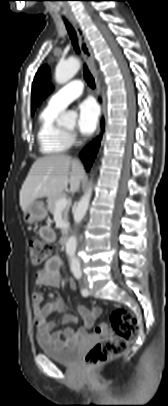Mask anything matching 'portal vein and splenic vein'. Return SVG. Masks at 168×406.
I'll list each match as a JSON object with an SVG mask.
<instances>
[{
	"label": "portal vein and splenic vein",
	"mask_w": 168,
	"mask_h": 406,
	"mask_svg": "<svg viewBox=\"0 0 168 406\" xmlns=\"http://www.w3.org/2000/svg\"><path fill=\"white\" fill-rule=\"evenodd\" d=\"M68 203L69 200L66 199L65 197L59 199L55 204L56 210H63L64 208H66Z\"/></svg>",
	"instance_id": "1"
}]
</instances>
